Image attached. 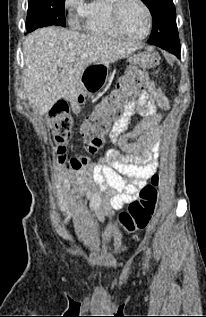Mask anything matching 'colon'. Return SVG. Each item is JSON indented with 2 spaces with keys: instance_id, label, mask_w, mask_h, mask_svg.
Here are the masks:
<instances>
[{
  "instance_id": "colon-1",
  "label": "colon",
  "mask_w": 206,
  "mask_h": 317,
  "mask_svg": "<svg viewBox=\"0 0 206 317\" xmlns=\"http://www.w3.org/2000/svg\"><path fill=\"white\" fill-rule=\"evenodd\" d=\"M160 58L156 54L144 55L130 66L116 88L106 97L94 112L87 116L81 127L85 150L95 153L103 147L113 125L122 117L126 105L148 82L147 70L157 66ZM50 122L57 144V159L66 169L76 170L86 163L82 157L67 158L65 144L68 142L73 119L66 104H58L50 111ZM159 176L152 177L151 184L144 186L138 200L119 216V221L128 232L144 228L150 222L157 205Z\"/></svg>"
}]
</instances>
